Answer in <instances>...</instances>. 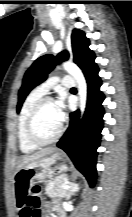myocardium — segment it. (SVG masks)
<instances>
[{"label":"myocardium","mask_w":132,"mask_h":217,"mask_svg":"<svg viewBox=\"0 0 132 217\" xmlns=\"http://www.w3.org/2000/svg\"><path fill=\"white\" fill-rule=\"evenodd\" d=\"M49 103H54V100L51 97H43L42 99H40L37 102V104L33 107L27 119V123H26L27 138L32 144H34L37 147H43L55 143L61 137L64 130L63 124H61L59 130L52 138L44 140L39 137L36 131V120L43 107Z\"/></svg>","instance_id":"1"}]
</instances>
